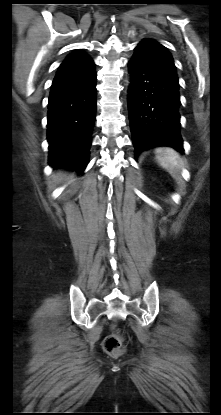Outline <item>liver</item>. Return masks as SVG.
I'll use <instances>...</instances> for the list:
<instances>
[{"instance_id":"obj_1","label":"liver","mask_w":221,"mask_h":415,"mask_svg":"<svg viewBox=\"0 0 221 415\" xmlns=\"http://www.w3.org/2000/svg\"><path fill=\"white\" fill-rule=\"evenodd\" d=\"M70 177H72V175H68L67 173H64V172H58L56 174V178L58 180H63V179H67V178H70Z\"/></svg>"}]
</instances>
